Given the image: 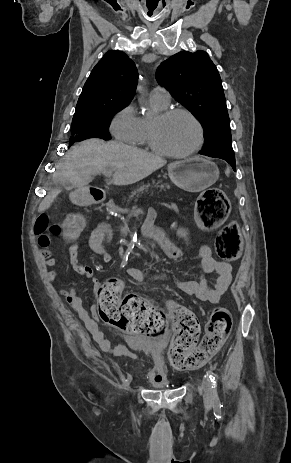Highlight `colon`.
<instances>
[{
    "instance_id": "5ec220e1",
    "label": "colon",
    "mask_w": 291,
    "mask_h": 463,
    "mask_svg": "<svg viewBox=\"0 0 291 463\" xmlns=\"http://www.w3.org/2000/svg\"><path fill=\"white\" fill-rule=\"evenodd\" d=\"M230 211V201L224 191L214 187L200 194L196 201L195 214L202 229L208 230L222 224ZM178 221H184L188 212L178 208L174 212ZM38 237L49 233L74 240L84 230L82 218L71 213L61 223H50L46 214L35 223ZM238 225L232 222L223 227L216 238L217 255L224 261L233 262L240 255ZM123 282L119 278L106 280L96 290L98 314L102 321L128 333L158 337L166 331V315L174 325V335L168 351L170 364L178 370H191L205 364L227 339L232 328V316L225 308L213 311L205 326L204 336L198 345L200 326L195 314L176 304L168 306L164 313L139 296H123Z\"/></svg>"
}]
</instances>
